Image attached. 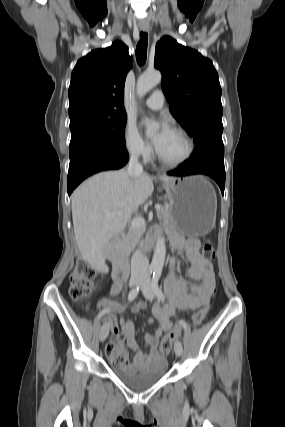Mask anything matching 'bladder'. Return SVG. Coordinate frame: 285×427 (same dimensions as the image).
I'll use <instances>...</instances> for the list:
<instances>
[{
  "label": "bladder",
  "mask_w": 285,
  "mask_h": 427,
  "mask_svg": "<svg viewBox=\"0 0 285 427\" xmlns=\"http://www.w3.org/2000/svg\"><path fill=\"white\" fill-rule=\"evenodd\" d=\"M166 362L147 371H131L127 368L116 366L114 373L127 386L134 390H145L157 383L166 373Z\"/></svg>",
  "instance_id": "obj_1"
}]
</instances>
